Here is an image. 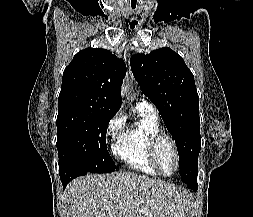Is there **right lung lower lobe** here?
<instances>
[{
	"mask_svg": "<svg viewBox=\"0 0 253 217\" xmlns=\"http://www.w3.org/2000/svg\"><path fill=\"white\" fill-rule=\"evenodd\" d=\"M59 173H60V178H61V181H62V184H63V188H65L66 185L71 180H73L74 178H76L78 176L85 175V174H87L89 172L79 171V172H76V173H68L64 169H59Z\"/></svg>",
	"mask_w": 253,
	"mask_h": 217,
	"instance_id": "obj_1",
	"label": "right lung lower lobe"
}]
</instances>
